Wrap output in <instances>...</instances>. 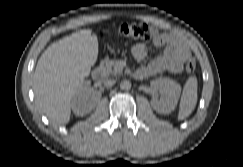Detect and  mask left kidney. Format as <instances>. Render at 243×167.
<instances>
[{
	"label": "left kidney",
	"mask_w": 243,
	"mask_h": 167,
	"mask_svg": "<svg viewBox=\"0 0 243 167\" xmlns=\"http://www.w3.org/2000/svg\"><path fill=\"white\" fill-rule=\"evenodd\" d=\"M151 87L162 94L160 100L151 101V105L158 113H171L178 102L181 86L169 78H160L151 81Z\"/></svg>",
	"instance_id": "5707ae66"
}]
</instances>
